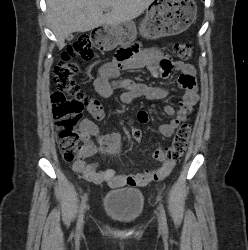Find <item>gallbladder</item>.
<instances>
[{"mask_svg": "<svg viewBox=\"0 0 248 250\" xmlns=\"http://www.w3.org/2000/svg\"><path fill=\"white\" fill-rule=\"evenodd\" d=\"M73 37H74V36H73L72 34H69V35L66 36V39H67L68 41H70V40L73 39Z\"/></svg>", "mask_w": 248, "mask_h": 250, "instance_id": "gallbladder-1", "label": "gallbladder"}]
</instances>
